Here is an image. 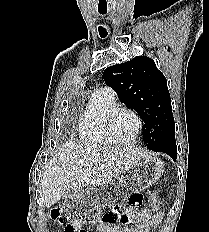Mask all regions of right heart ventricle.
<instances>
[{
    "instance_id": "right-heart-ventricle-1",
    "label": "right heart ventricle",
    "mask_w": 209,
    "mask_h": 232,
    "mask_svg": "<svg viewBox=\"0 0 209 232\" xmlns=\"http://www.w3.org/2000/svg\"><path fill=\"white\" fill-rule=\"evenodd\" d=\"M117 107L116 99L105 88L96 90L79 118L78 131L81 138L95 146L110 145L104 129L105 119Z\"/></svg>"
}]
</instances>
